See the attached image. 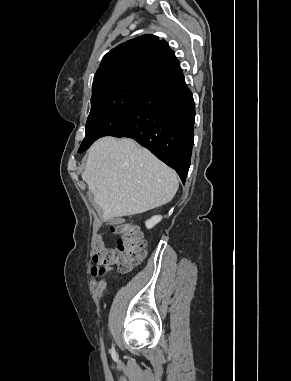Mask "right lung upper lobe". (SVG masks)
Wrapping results in <instances>:
<instances>
[{"label":"right lung upper lobe","mask_w":291,"mask_h":381,"mask_svg":"<svg viewBox=\"0 0 291 381\" xmlns=\"http://www.w3.org/2000/svg\"><path fill=\"white\" fill-rule=\"evenodd\" d=\"M174 51L157 36L143 35L109 51L97 70L93 93L130 78L147 77L176 61Z\"/></svg>","instance_id":"1"}]
</instances>
